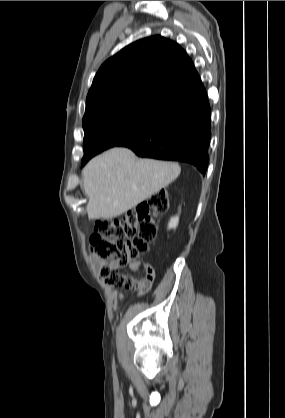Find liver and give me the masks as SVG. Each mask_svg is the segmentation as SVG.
<instances>
[{"mask_svg":"<svg viewBox=\"0 0 285 418\" xmlns=\"http://www.w3.org/2000/svg\"><path fill=\"white\" fill-rule=\"evenodd\" d=\"M175 162L138 159L127 148L94 157L82 171L89 219L117 217L168 186L180 174Z\"/></svg>","mask_w":285,"mask_h":418,"instance_id":"obj_1","label":"liver"}]
</instances>
